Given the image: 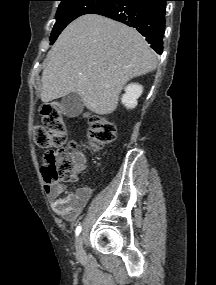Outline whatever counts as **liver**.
I'll use <instances>...</instances> for the list:
<instances>
[{"mask_svg": "<svg viewBox=\"0 0 216 285\" xmlns=\"http://www.w3.org/2000/svg\"><path fill=\"white\" fill-rule=\"evenodd\" d=\"M156 66L155 53L135 29L100 15H83L49 51L40 97L48 103L77 93L90 111L109 114L117 108L123 86Z\"/></svg>", "mask_w": 216, "mask_h": 285, "instance_id": "1", "label": "liver"}]
</instances>
